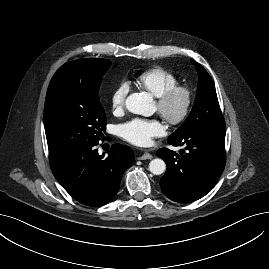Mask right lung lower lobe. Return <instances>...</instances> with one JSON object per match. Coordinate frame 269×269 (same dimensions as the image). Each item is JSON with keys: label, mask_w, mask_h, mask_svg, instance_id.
<instances>
[{"label": "right lung lower lobe", "mask_w": 269, "mask_h": 269, "mask_svg": "<svg viewBox=\"0 0 269 269\" xmlns=\"http://www.w3.org/2000/svg\"><path fill=\"white\" fill-rule=\"evenodd\" d=\"M98 143L50 157L58 182L78 202L98 207L118 192L123 173L134 162L130 147L114 144L108 155H99Z\"/></svg>", "instance_id": "right-lung-lower-lobe-1"}]
</instances>
